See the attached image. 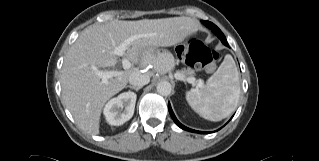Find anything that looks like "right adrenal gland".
Instances as JSON below:
<instances>
[{"mask_svg":"<svg viewBox=\"0 0 319 161\" xmlns=\"http://www.w3.org/2000/svg\"><path fill=\"white\" fill-rule=\"evenodd\" d=\"M127 87H129L130 89H134L136 92H138L141 89V87H134V86H130V85Z\"/></svg>","mask_w":319,"mask_h":161,"instance_id":"1","label":"right adrenal gland"}]
</instances>
